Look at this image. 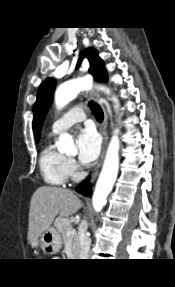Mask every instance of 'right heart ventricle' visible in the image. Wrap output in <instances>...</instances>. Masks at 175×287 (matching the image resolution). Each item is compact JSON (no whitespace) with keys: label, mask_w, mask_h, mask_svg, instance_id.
Wrapping results in <instances>:
<instances>
[{"label":"right heart ventricle","mask_w":175,"mask_h":287,"mask_svg":"<svg viewBox=\"0 0 175 287\" xmlns=\"http://www.w3.org/2000/svg\"><path fill=\"white\" fill-rule=\"evenodd\" d=\"M39 167L44 181L50 185H64L69 177L67 158L54 149L50 142L42 148Z\"/></svg>","instance_id":"1"}]
</instances>
